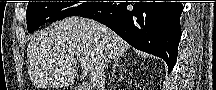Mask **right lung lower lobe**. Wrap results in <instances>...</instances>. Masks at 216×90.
Listing matches in <instances>:
<instances>
[{
  "label": "right lung lower lobe",
  "mask_w": 216,
  "mask_h": 90,
  "mask_svg": "<svg viewBox=\"0 0 216 90\" xmlns=\"http://www.w3.org/2000/svg\"><path fill=\"white\" fill-rule=\"evenodd\" d=\"M182 11L181 2H106L80 16L108 26L136 49L164 59L171 72Z\"/></svg>",
  "instance_id": "98d812e1"
}]
</instances>
